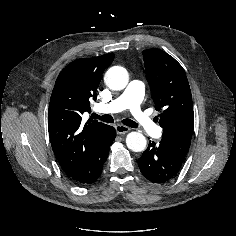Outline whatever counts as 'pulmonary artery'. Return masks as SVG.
Segmentation results:
<instances>
[{"label": "pulmonary artery", "mask_w": 236, "mask_h": 236, "mask_svg": "<svg viewBox=\"0 0 236 236\" xmlns=\"http://www.w3.org/2000/svg\"><path fill=\"white\" fill-rule=\"evenodd\" d=\"M145 85L140 80H132L125 90L109 103L100 104L98 111L102 113H117L130 109L135 123L148 135L156 136L160 128L142 110L141 100L144 95Z\"/></svg>", "instance_id": "e3ab8cb5"}]
</instances>
